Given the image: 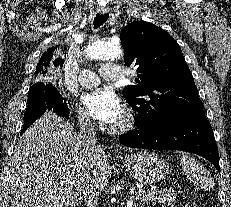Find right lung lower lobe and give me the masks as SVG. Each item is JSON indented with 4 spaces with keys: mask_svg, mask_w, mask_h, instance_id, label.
I'll return each instance as SVG.
<instances>
[{
    "mask_svg": "<svg viewBox=\"0 0 231 207\" xmlns=\"http://www.w3.org/2000/svg\"><path fill=\"white\" fill-rule=\"evenodd\" d=\"M46 110L53 111L67 119L69 118V109L66 102L62 99L57 89L50 84L43 85L41 88L37 89L35 97L28 102L24 114L22 133L42 116Z\"/></svg>",
    "mask_w": 231,
    "mask_h": 207,
    "instance_id": "98d812e1",
    "label": "right lung lower lobe"
}]
</instances>
